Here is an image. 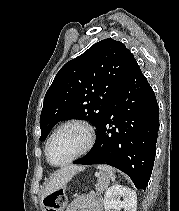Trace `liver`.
<instances>
[{
	"label": "liver",
	"mask_w": 179,
	"mask_h": 211,
	"mask_svg": "<svg viewBox=\"0 0 179 211\" xmlns=\"http://www.w3.org/2000/svg\"><path fill=\"white\" fill-rule=\"evenodd\" d=\"M82 166H68L65 168H61L57 172L53 174V176L48 181L47 185L45 186L44 193L42 194V198L46 197L47 195L64 188L65 185L71 180V178L78 172L82 171Z\"/></svg>",
	"instance_id": "6515ba94"
}]
</instances>
